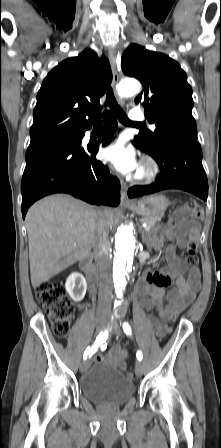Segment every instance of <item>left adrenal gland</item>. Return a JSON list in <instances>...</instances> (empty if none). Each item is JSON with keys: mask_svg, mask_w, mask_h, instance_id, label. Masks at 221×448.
<instances>
[{"mask_svg": "<svg viewBox=\"0 0 221 448\" xmlns=\"http://www.w3.org/2000/svg\"><path fill=\"white\" fill-rule=\"evenodd\" d=\"M139 231L141 232L143 242H145V232L142 230L141 227H139Z\"/></svg>", "mask_w": 221, "mask_h": 448, "instance_id": "a2214340", "label": "left adrenal gland"}]
</instances>
